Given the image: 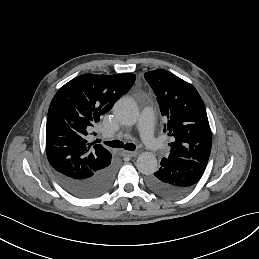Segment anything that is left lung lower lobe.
I'll return each mask as SVG.
<instances>
[{
    "instance_id": "obj_1",
    "label": "left lung lower lobe",
    "mask_w": 259,
    "mask_h": 259,
    "mask_svg": "<svg viewBox=\"0 0 259 259\" xmlns=\"http://www.w3.org/2000/svg\"><path fill=\"white\" fill-rule=\"evenodd\" d=\"M160 169L147 178L148 187L158 195L176 198L193 189L207 164L191 159L164 157Z\"/></svg>"
}]
</instances>
